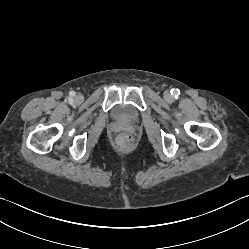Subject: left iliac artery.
Returning <instances> with one entry per match:
<instances>
[{
    "mask_svg": "<svg viewBox=\"0 0 249 249\" xmlns=\"http://www.w3.org/2000/svg\"><path fill=\"white\" fill-rule=\"evenodd\" d=\"M172 94H173V96L177 99V97H178L179 94H180V90H179V89H172Z\"/></svg>",
    "mask_w": 249,
    "mask_h": 249,
    "instance_id": "44dca946",
    "label": "left iliac artery"
}]
</instances>
